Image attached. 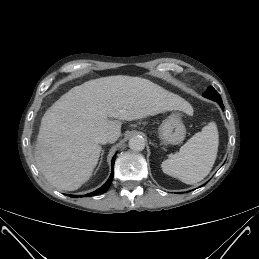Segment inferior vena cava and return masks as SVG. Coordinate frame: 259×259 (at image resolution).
<instances>
[{
    "instance_id": "602c4592",
    "label": "inferior vena cava",
    "mask_w": 259,
    "mask_h": 259,
    "mask_svg": "<svg viewBox=\"0 0 259 259\" xmlns=\"http://www.w3.org/2000/svg\"><path fill=\"white\" fill-rule=\"evenodd\" d=\"M96 143L98 144H106L110 141L109 133L102 132L95 138Z\"/></svg>"
}]
</instances>
